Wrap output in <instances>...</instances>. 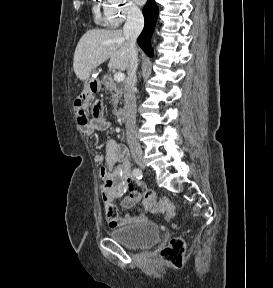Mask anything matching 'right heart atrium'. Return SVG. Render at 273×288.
<instances>
[{
  "instance_id": "1",
  "label": "right heart atrium",
  "mask_w": 273,
  "mask_h": 288,
  "mask_svg": "<svg viewBox=\"0 0 273 288\" xmlns=\"http://www.w3.org/2000/svg\"><path fill=\"white\" fill-rule=\"evenodd\" d=\"M105 17L111 26H119L128 18L139 14L132 0H102Z\"/></svg>"
}]
</instances>
